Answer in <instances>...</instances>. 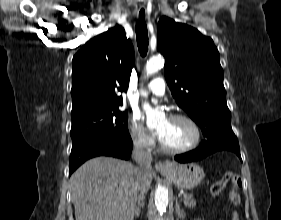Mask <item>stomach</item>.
<instances>
[{
    "label": "stomach",
    "mask_w": 281,
    "mask_h": 220,
    "mask_svg": "<svg viewBox=\"0 0 281 220\" xmlns=\"http://www.w3.org/2000/svg\"><path fill=\"white\" fill-rule=\"evenodd\" d=\"M161 173L183 189H193L204 178L203 169L195 163H171L169 170Z\"/></svg>",
    "instance_id": "0dacf381"
}]
</instances>
